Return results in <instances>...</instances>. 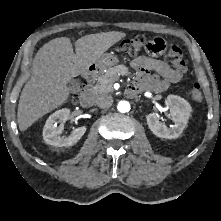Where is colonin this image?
<instances>
[{
    "label": "colon",
    "mask_w": 221,
    "mask_h": 221,
    "mask_svg": "<svg viewBox=\"0 0 221 221\" xmlns=\"http://www.w3.org/2000/svg\"><path fill=\"white\" fill-rule=\"evenodd\" d=\"M121 48L130 56H136L142 50L156 53L166 52L167 59L175 70L180 73H184L187 70V65L180 47L174 43H166L160 37L136 35L124 40L121 44ZM188 94L194 102L199 103L203 99L200 85L197 83L189 88ZM75 99H78V95H75Z\"/></svg>",
    "instance_id": "obj_1"
}]
</instances>
